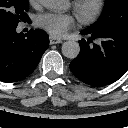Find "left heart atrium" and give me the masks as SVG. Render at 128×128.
<instances>
[{
	"label": "left heart atrium",
	"mask_w": 128,
	"mask_h": 128,
	"mask_svg": "<svg viewBox=\"0 0 128 128\" xmlns=\"http://www.w3.org/2000/svg\"><path fill=\"white\" fill-rule=\"evenodd\" d=\"M36 25L50 34L61 36L75 25L70 13L46 12L37 16Z\"/></svg>",
	"instance_id": "left-heart-atrium-1"
}]
</instances>
